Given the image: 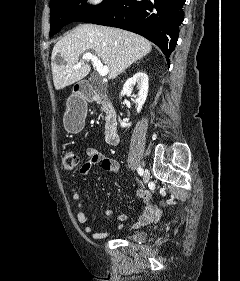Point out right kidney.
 Segmentation results:
<instances>
[{
  "label": "right kidney",
  "instance_id": "1",
  "mask_svg": "<svg viewBox=\"0 0 240 281\" xmlns=\"http://www.w3.org/2000/svg\"><path fill=\"white\" fill-rule=\"evenodd\" d=\"M136 84L139 92L137 95L133 94L132 96L135 98V102L137 104V112L139 113L146 101L147 94H148L149 85H148V76L146 73L138 72L133 77L128 79L123 86L120 96L131 95L133 86ZM119 121L121 127L130 126V124H126L125 122H122L120 119Z\"/></svg>",
  "mask_w": 240,
  "mask_h": 281
}]
</instances>
